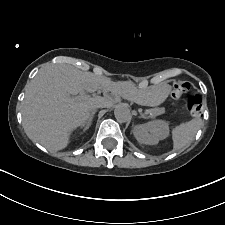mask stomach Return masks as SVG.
<instances>
[{
	"mask_svg": "<svg viewBox=\"0 0 225 225\" xmlns=\"http://www.w3.org/2000/svg\"><path fill=\"white\" fill-rule=\"evenodd\" d=\"M169 93V86L164 85L157 90L151 91L144 96L145 105L157 106L161 104Z\"/></svg>",
	"mask_w": 225,
	"mask_h": 225,
	"instance_id": "0dacf381",
	"label": "stomach"
}]
</instances>
